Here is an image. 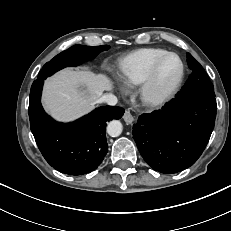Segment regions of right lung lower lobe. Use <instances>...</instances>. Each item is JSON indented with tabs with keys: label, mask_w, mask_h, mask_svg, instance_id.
Segmentation results:
<instances>
[{
	"label": "right lung lower lobe",
	"mask_w": 231,
	"mask_h": 231,
	"mask_svg": "<svg viewBox=\"0 0 231 231\" xmlns=\"http://www.w3.org/2000/svg\"><path fill=\"white\" fill-rule=\"evenodd\" d=\"M44 79L34 81L30 91L29 118L31 131L43 157L50 166L68 175L92 172L108 152L105 127L120 119L121 107H99L71 123H59L48 116L40 98Z\"/></svg>",
	"instance_id": "obj_1"
}]
</instances>
